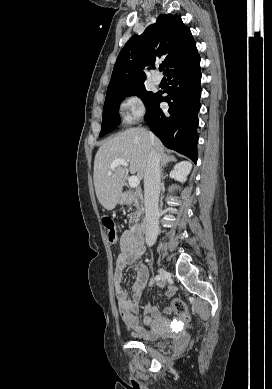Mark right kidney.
<instances>
[{
  "mask_svg": "<svg viewBox=\"0 0 272 389\" xmlns=\"http://www.w3.org/2000/svg\"><path fill=\"white\" fill-rule=\"evenodd\" d=\"M192 169V165L189 162L183 161L174 166V169L170 172V177L174 180L184 183L187 180Z\"/></svg>",
  "mask_w": 272,
  "mask_h": 389,
  "instance_id": "obj_1",
  "label": "right kidney"
}]
</instances>
